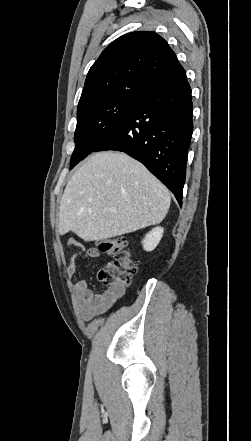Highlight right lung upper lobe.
<instances>
[{
    "label": "right lung upper lobe",
    "mask_w": 251,
    "mask_h": 441,
    "mask_svg": "<svg viewBox=\"0 0 251 441\" xmlns=\"http://www.w3.org/2000/svg\"><path fill=\"white\" fill-rule=\"evenodd\" d=\"M181 70L174 51L158 34H125L107 46L90 68L77 111L105 98L143 95Z\"/></svg>",
    "instance_id": "cb5924a9"
}]
</instances>
